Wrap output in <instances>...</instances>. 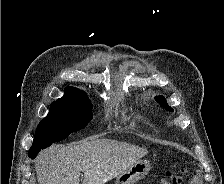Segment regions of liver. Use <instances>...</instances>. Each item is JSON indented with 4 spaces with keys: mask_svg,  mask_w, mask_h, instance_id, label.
<instances>
[{
    "mask_svg": "<svg viewBox=\"0 0 224 184\" xmlns=\"http://www.w3.org/2000/svg\"><path fill=\"white\" fill-rule=\"evenodd\" d=\"M144 148L110 139H91L77 145H53L36 159L39 184H105L146 156Z\"/></svg>",
    "mask_w": 224,
    "mask_h": 184,
    "instance_id": "6515ba94",
    "label": "liver"
}]
</instances>
